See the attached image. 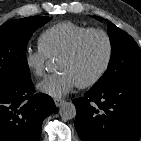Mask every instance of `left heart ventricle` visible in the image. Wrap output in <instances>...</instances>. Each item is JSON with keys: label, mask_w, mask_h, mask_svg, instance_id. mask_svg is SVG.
<instances>
[{"label": "left heart ventricle", "mask_w": 141, "mask_h": 141, "mask_svg": "<svg viewBox=\"0 0 141 141\" xmlns=\"http://www.w3.org/2000/svg\"><path fill=\"white\" fill-rule=\"evenodd\" d=\"M106 52L105 39L101 35L92 34L84 40L75 55L59 58L57 69L68 71L77 83L86 81L100 69Z\"/></svg>", "instance_id": "1"}]
</instances>
